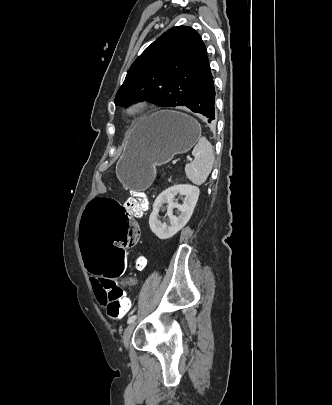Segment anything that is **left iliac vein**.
<instances>
[{
  "label": "left iliac vein",
  "instance_id": "obj_1",
  "mask_svg": "<svg viewBox=\"0 0 332 405\" xmlns=\"http://www.w3.org/2000/svg\"><path fill=\"white\" fill-rule=\"evenodd\" d=\"M135 327H136V323H135V322H132V323H130V324L126 327V329H125V331H124V334H123V343H124V346H125L126 348H128L129 340H130V337H131V335H132V333H133Z\"/></svg>",
  "mask_w": 332,
  "mask_h": 405
}]
</instances>
